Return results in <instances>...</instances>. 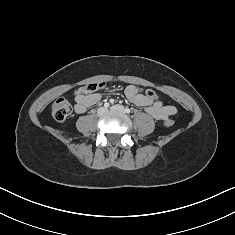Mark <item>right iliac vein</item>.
Instances as JSON below:
<instances>
[{"label": "right iliac vein", "instance_id": "obj_1", "mask_svg": "<svg viewBox=\"0 0 235 235\" xmlns=\"http://www.w3.org/2000/svg\"><path fill=\"white\" fill-rule=\"evenodd\" d=\"M106 113H107V109H106L105 107H101V108H99L98 111H97V114H98L99 116H103V115H105Z\"/></svg>", "mask_w": 235, "mask_h": 235}]
</instances>
